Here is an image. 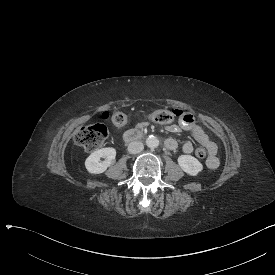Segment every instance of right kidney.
<instances>
[{
	"label": "right kidney",
	"instance_id": "1",
	"mask_svg": "<svg viewBox=\"0 0 275 275\" xmlns=\"http://www.w3.org/2000/svg\"><path fill=\"white\" fill-rule=\"evenodd\" d=\"M101 158H105V160L102 163L99 162ZM115 158V148L107 147L96 150L85 160L86 170L91 175L103 173L107 170L109 166L115 164Z\"/></svg>",
	"mask_w": 275,
	"mask_h": 275
}]
</instances>
